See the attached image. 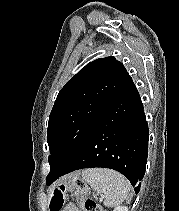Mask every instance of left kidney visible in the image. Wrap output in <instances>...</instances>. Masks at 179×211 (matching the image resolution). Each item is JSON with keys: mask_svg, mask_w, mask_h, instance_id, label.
I'll use <instances>...</instances> for the list:
<instances>
[{"mask_svg": "<svg viewBox=\"0 0 179 211\" xmlns=\"http://www.w3.org/2000/svg\"><path fill=\"white\" fill-rule=\"evenodd\" d=\"M113 211H129L126 206H117Z\"/></svg>", "mask_w": 179, "mask_h": 211, "instance_id": "5707ae66", "label": "left kidney"}]
</instances>
